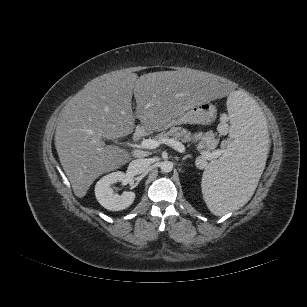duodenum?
Instances as JSON below:
<instances>
[{"instance_id": "410a0bca", "label": "duodenum", "mask_w": 307, "mask_h": 307, "mask_svg": "<svg viewBox=\"0 0 307 307\" xmlns=\"http://www.w3.org/2000/svg\"><path fill=\"white\" fill-rule=\"evenodd\" d=\"M146 134V130L143 127H139L134 132L133 138L134 140H139L140 138L144 137Z\"/></svg>"}]
</instances>
